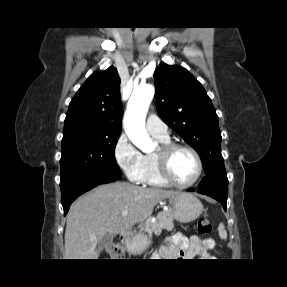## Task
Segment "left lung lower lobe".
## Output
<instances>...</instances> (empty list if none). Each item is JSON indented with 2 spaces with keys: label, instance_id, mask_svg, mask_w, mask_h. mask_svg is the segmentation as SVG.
<instances>
[{
  "label": "left lung lower lobe",
  "instance_id": "left-lung-lower-lobe-1",
  "mask_svg": "<svg viewBox=\"0 0 287 287\" xmlns=\"http://www.w3.org/2000/svg\"><path fill=\"white\" fill-rule=\"evenodd\" d=\"M188 191H193V190L190 189ZM198 192L216 199L222 204L223 208L226 210V203H227L228 195H224L222 193L213 192V191H207V190H199Z\"/></svg>",
  "mask_w": 287,
  "mask_h": 287
}]
</instances>
